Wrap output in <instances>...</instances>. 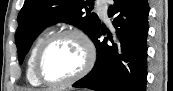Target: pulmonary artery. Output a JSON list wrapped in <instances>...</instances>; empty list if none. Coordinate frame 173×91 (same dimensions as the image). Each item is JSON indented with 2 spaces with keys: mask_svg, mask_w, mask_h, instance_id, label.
<instances>
[{
  "mask_svg": "<svg viewBox=\"0 0 173 91\" xmlns=\"http://www.w3.org/2000/svg\"><path fill=\"white\" fill-rule=\"evenodd\" d=\"M98 5H99V12L106 17L107 16V8H106V4L105 1L103 0H99L97 1Z\"/></svg>",
  "mask_w": 173,
  "mask_h": 91,
  "instance_id": "obj_1",
  "label": "pulmonary artery"
}]
</instances>
